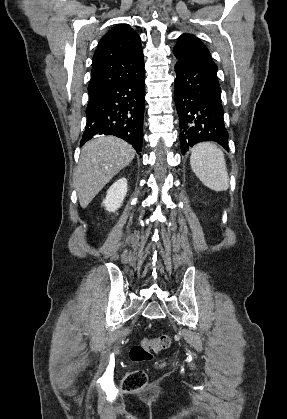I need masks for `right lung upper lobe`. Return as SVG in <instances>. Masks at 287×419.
Masks as SVG:
<instances>
[{
	"label": "right lung upper lobe",
	"mask_w": 287,
	"mask_h": 419,
	"mask_svg": "<svg viewBox=\"0 0 287 419\" xmlns=\"http://www.w3.org/2000/svg\"><path fill=\"white\" fill-rule=\"evenodd\" d=\"M144 68L139 35L128 25L112 28L99 42L92 61L89 95Z\"/></svg>",
	"instance_id": "cb5924a9"
}]
</instances>
